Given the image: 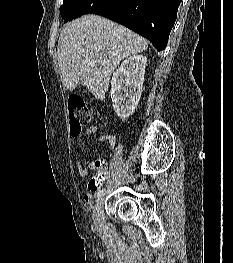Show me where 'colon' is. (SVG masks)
Listing matches in <instances>:
<instances>
[{
    "instance_id": "colon-1",
    "label": "colon",
    "mask_w": 233,
    "mask_h": 263,
    "mask_svg": "<svg viewBox=\"0 0 233 263\" xmlns=\"http://www.w3.org/2000/svg\"><path fill=\"white\" fill-rule=\"evenodd\" d=\"M69 119L71 134L74 137L79 136L83 128L92 122V114L81 98L73 97L69 100ZM97 166L100 171H95V178L88 184L89 189H101L102 185L99 183H104L108 179L107 172L104 171V162H98Z\"/></svg>"
}]
</instances>
